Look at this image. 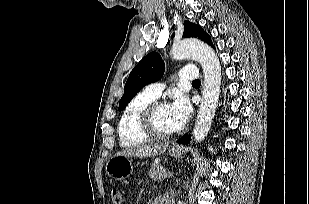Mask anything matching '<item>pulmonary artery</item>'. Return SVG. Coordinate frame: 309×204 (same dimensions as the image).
I'll return each mask as SVG.
<instances>
[{"label":"pulmonary artery","mask_w":309,"mask_h":204,"mask_svg":"<svg viewBox=\"0 0 309 204\" xmlns=\"http://www.w3.org/2000/svg\"><path fill=\"white\" fill-rule=\"evenodd\" d=\"M198 77V71L193 67H184L179 72V78L181 80H195ZM163 90V85L160 83H151L144 89L149 95L158 98Z\"/></svg>","instance_id":"pulmonary-artery-1"}]
</instances>
